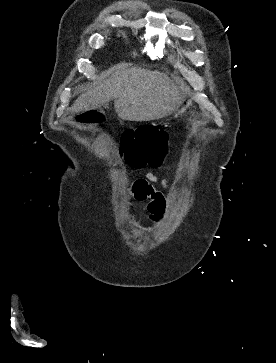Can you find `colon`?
Here are the masks:
<instances>
[{
    "mask_svg": "<svg viewBox=\"0 0 276 363\" xmlns=\"http://www.w3.org/2000/svg\"><path fill=\"white\" fill-rule=\"evenodd\" d=\"M87 116L90 121L97 120L92 112ZM121 148L133 167L158 166L168 154V133L150 126L125 130Z\"/></svg>",
    "mask_w": 276,
    "mask_h": 363,
    "instance_id": "1",
    "label": "colon"
}]
</instances>
